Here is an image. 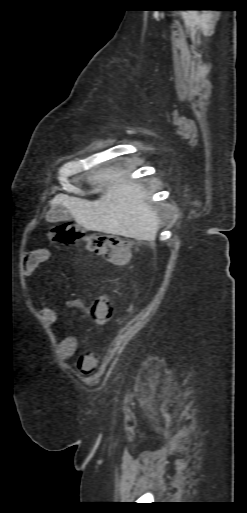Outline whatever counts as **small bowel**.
Here are the masks:
<instances>
[{
  "mask_svg": "<svg viewBox=\"0 0 247 513\" xmlns=\"http://www.w3.org/2000/svg\"><path fill=\"white\" fill-rule=\"evenodd\" d=\"M49 252L47 250H40L27 255L24 258L22 265V272L24 277H30L39 267V265L46 260ZM73 306L81 309L87 313L92 319L93 316L90 313V305L84 304L82 299H74ZM40 316L42 322L47 327H52L57 321L56 311L48 305L44 298H41V309ZM78 339L75 336H66L60 340L58 344V356L61 360L65 361L71 358L77 351ZM96 359L92 355H87L80 359L77 364V368L81 373H89L93 370Z\"/></svg>",
  "mask_w": 247,
  "mask_h": 513,
  "instance_id": "1",
  "label": "small bowel"
}]
</instances>
